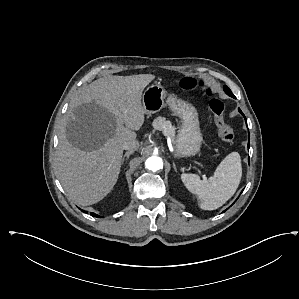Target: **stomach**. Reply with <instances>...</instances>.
Instances as JSON below:
<instances>
[{"label": "stomach", "mask_w": 299, "mask_h": 299, "mask_svg": "<svg viewBox=\"0 0 299 299\" xmlns=\"http://www.w3.org/2000/svg\"><path fill=\"white\" fill-rule=\"evenodd\" d=\"M142 104L145 114L157 113L168 106L170 111L181 119V128L174 141L176 156H193L199 152L203 137L198 112L192 104L174 94H168L159 83L152 84L145 90Z\"/></svg>", "instance_id": "stomach-1"}]
</instances>
